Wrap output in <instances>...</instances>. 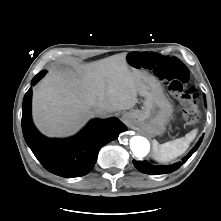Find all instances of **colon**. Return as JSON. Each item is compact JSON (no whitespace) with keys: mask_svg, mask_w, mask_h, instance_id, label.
<instances>
[{"mask_svg":"<svg viewBox=\"0 0 221 221\" xmlns=\"http://www.w3.org/2000/svg\"><path fill=\"white\" fill-rule=\"evenodd\" d=\"M136 68L151 70L155 76L167 84L169 92L181 105L183 115L190 123L199 118L196 106V93L189 84V71L177 58L157 53H143L131 57Z\"/></svg>","mask_w":221,"mask_h":221,"instance_id":"5ec220e1","label":"colon"}]
</instances>
